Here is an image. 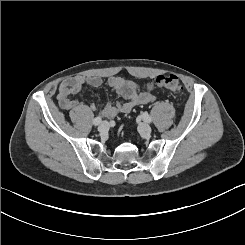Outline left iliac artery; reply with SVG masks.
Instances as JSON below:
<instances>
[{
  "label": "left iliac artery",
  "mask_w": 245,
  "mask_h": 245,
  "mask_svg": "<svg viewBox=\"0 0 245 245\" xmlns=\"http://www.w3.org/2000/svg\"><path fill=\"white\" fill-rule=\"evenodd\" d=\"M141 116H142V118H143V120L145 122H147V123H151L152 122V118L148 115V113L145 112Z\"/></svg>",
  "instance_id": "left-iliac-artery-1"
}]
</instances>
